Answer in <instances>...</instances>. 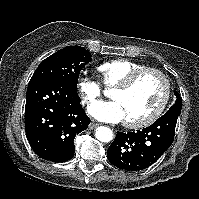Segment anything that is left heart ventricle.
Listing matches in <instances>:
<instances>
[{
  "instance_id": "obj_1",
  "label": "left heart ventricle",
  "mask_w": 199,
  "mask_h": 199,
  "mask_svg": "<svg viewBox=\"0 0 199 199\" xmlns=\"http://www.w3.org/2000/svg\"><path fill=\"white\" fill-rule=\"evenodd\" d=\"M164 94V82L154 73L144 75L130 90H112L111 97L118 101L125 120H140L148 116L159 104Z\"/></svg>"
}]
</instances>
